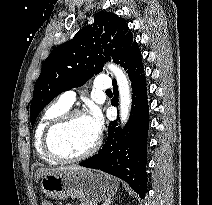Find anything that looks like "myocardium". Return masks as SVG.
Returning <instances> with one entry per match:
<instances>
[{"instance_id":"myocardium-1","label":"myocardium","mask_w":212,"mask_h":205,"mask_svg":"<svg viewBox=\"0 0 212 205\" xmlns=\"http://www.w3.org/2000/svg\"><path fill=\"white\" fill-rule=\"evenodd\" d=\"M79 116H85L81 110H78V109L67 110L66 112L62 113L57 118H55L48 125V127L46 128L44 132L43 148L45 152L48 154V156H50L57 162L73 163V162L84 160L92 156L98 150L101 144V139L99 136H97L94 143L85 152L77 156H65L57 150L55 146V142H54L57 132L61 128H63L68 122H70L73 118L79 117Z\"/></svg>"}]
</instances>
